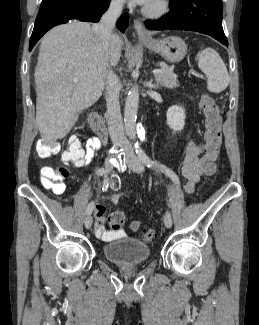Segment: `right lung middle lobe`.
Segmentation results:
<instances>
[{
	"instance_id": "1",
	"label": "right lung middle lobe",
	"mask_w": 259,
	"mask_h": 325,
	"mask_svg": "<svg viewBox=\"0 0 259 325\" xmlns=\"http://www.w3.org/2000/svg\"><path fill=\"white\" fill-rule=\"evenodd\" d=\"M48 0H43V2L42 3H44V2H47Z\"/></svg>"
}]
</instances>
